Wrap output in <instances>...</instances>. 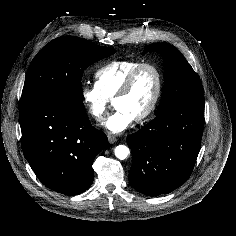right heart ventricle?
I'll list each match as a JSON object with an SVG mask.
<instances>
[{"mask_svg":"<svg viewBox=\"0 0 236 236\" xmlns=\"http://www.w3.org/2000/svg\"><path fill=\"white\" fill-rule=\"evenodd\" d=\"M141 63L143 61L137 59L109 62L95 72L96 85L107 99L112 100L129 73Z\"/></svg>","mask_w":236,"mask_h":236,"instance_id":"right-heart-ventricle-1","label":"right heart ventricle"}]
</instances>
